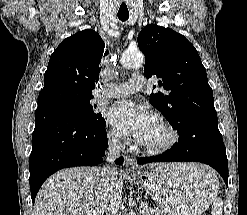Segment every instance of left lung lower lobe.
<instances>
[{"instance_id":"left-lung-lower-lobe-1","label":"left lung lower lobe","mask_w":247,"mask_h":215,"mask_svg":"<svg viewBox=\"0 0 247 215\" xmlns=\"http://www.w3.org/2000/svg\"><path fill=\"white\" fill-rule=\"evenodd\" d=\"M200 162L210 165L228 182V160L218 125H198L179 133V140L162 155L140 158L138 164L150 162Z\"/></svg>"}]
</instances>
